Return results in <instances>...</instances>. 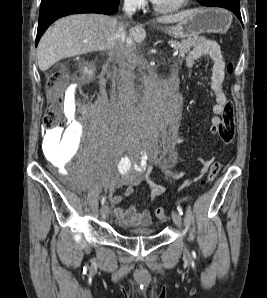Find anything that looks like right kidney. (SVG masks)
<instances>
[{
  "label": "right kidney",
  "mask_w": 267,
  "mask_h": 298,
  "mask_svg": "<svg viewBox=\"0 0 267 298\" xmlns=\"http://www.w3.org/2000/svg\"><path fill=\"white\" fill-rule=\"evenodd\" d=\"M84 72L88 75H92L93 74V71L92 70H88L87 68L84 69Z\"/></svg>",
  "instance_id": "1"
}]
</instances>
